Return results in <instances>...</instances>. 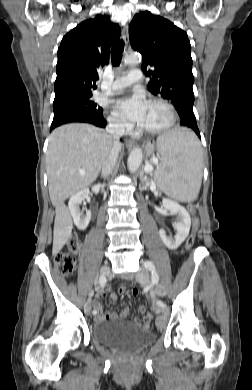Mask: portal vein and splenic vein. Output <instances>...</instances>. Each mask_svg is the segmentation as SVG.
<instances>
[{
  "instance_id": "portal-vein-and-splenic-vein-1",
  "label": "portal vein and splenic vein",
  "mask_w": 252,
  "mask_h": 390,
  "mask_svg": "<svg viewBox=\"0 0 252 390\" xmlns=\"http://www.w3.org/2000/svg\"><path fill=\"white\" fill-rule=\"evenodd\" d=\"M153 164H158V159L156 157H153L151 160H150ZM145 172L146 173H149L153 170V166L151 164H147L144 168ZM155 188V187H154Z\"/></svg>"
}]
</instances>
